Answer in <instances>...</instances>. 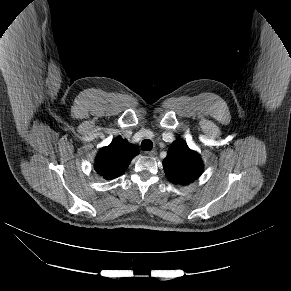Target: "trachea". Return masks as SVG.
I'll return each mask as SVG.
<instances>
[{"label":"trachea","mask_w":291,"mask_h":291,"mask_svg":"<svg viewBox=\"0 0 291 291\" xmlns=\"http://www.w3.org/2000/svg\"><path fill=\"white\" fill-rule=\"evenodd\" d=\"M153 148V143L149 139H144L141 143V149L143 151H151Z\"/></svg>","instance_id":"1"}]
</instances>
